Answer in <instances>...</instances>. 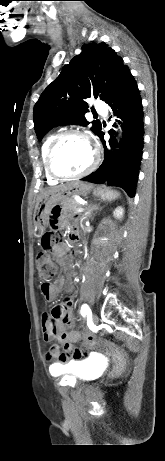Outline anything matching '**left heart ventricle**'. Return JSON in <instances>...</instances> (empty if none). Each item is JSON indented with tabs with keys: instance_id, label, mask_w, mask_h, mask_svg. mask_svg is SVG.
Listing matches in <instances>:
<instances>
[{
	"instance_id": "left-heart-ventricle-1",
	"label": "left heart ventricle",
	"mask_w": 165,
	"mask_h": 461,
	"mask_svg": "<svg viewBox=\"0 0 165 461\" xmlns=\"http://www.w3.org/2000/svg\"><path fill=\"white\" fill-rule=\"evenodd\" d=\"M92 160V150L88 142L80 137L64 138L57 146L53 165L63 175L77 174L88 167Z\"/></svg>"
}]
</instances>
